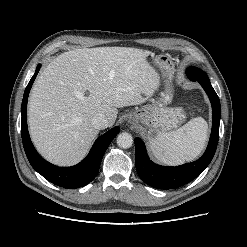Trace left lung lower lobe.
<instances>
[{
    "instance_id": "1",
    "label": "left lung lower lobe",
    "mask_w": 247,
    "mask_h": 247,
    "mask_svg": "<svg viewBox=\"0 0 247 247\" xmlns=\"http://www.w3.org/2000/svg\"><path fill=\"white\" fill-rule=\"evenodd\" d=\"M187 73L192 81H198L212 104L213 125L208 147L200 159L176 167L160 166L150 161L145 145L140 138H135V165L139 177L148 185L158 189L178 188L198 177L211 162L219 139L221 106L219 98L211 86L209 78Z\"/></svg>"
}]
</instances>
